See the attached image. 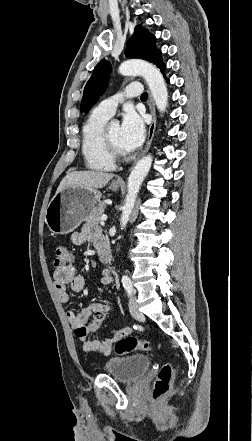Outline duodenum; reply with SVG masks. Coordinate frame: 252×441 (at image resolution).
Masks as SVG:
<instances>
[{"mask_svg": "<svg viewBox=\"0 0 252 441\" xmlns=\"http://www.w3.org/2000/svg\"><path fill=\"white\" fill-rule=\"evenodd\" d=\"M97 250H98V254H99L100 260L102 262L107 263V262L110 261L111 256H110L109 243H107V242L102 243V245L99 246L97 248Z\"/></svg>", "mask_w": 252, "mask_h": 441, "instance_id": "1", "label": "duodenum"}]
</instances>
